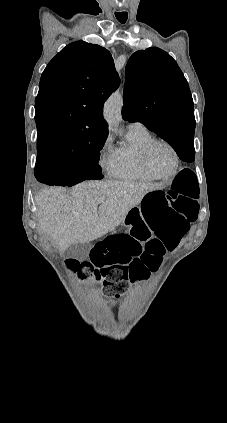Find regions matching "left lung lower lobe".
<instances>
[{"mask_svg":"<svg viewBox=\"0 0 227 423\" xmlns=\"http://www.w3.org/2000/svg\"><path fill=\"white\" fill-rule=\"evenodd\" d=\"M171 146L177 152L181 160L185 162H193L195 160L193 140H177Z\"/></svg>","mask_w":227,"mask_h":423,"instance_id":"1","label":"left lung lower lobe"}]
</instances>
